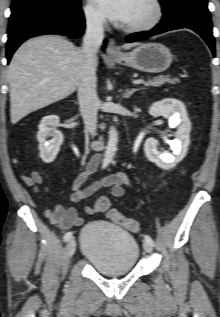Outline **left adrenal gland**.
I'll return each instance as SVG.
<instances>
[{"label":"left adrenal gland","instance_id":"left-adrenal-gland-1","mask_svg":"<svg viewBox=\"0 0 220 317\" xmlns=\"http://www.w3.org/2000/svg\"><path fill=\"white\" fill-rule=\"evenodd\" d=\"M139 89H131V90H126L125 93H123L124 98H130L131 95L135 92L138 91Z\"/></svg>","mask_w":220,"mask_h":317}]
</instances>
